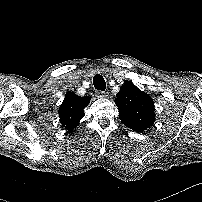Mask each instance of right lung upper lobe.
Wrapping results in <instances>:
<instances>
[{"label": "right lung upper lobe", "instance_id": "right-lung-upper-lobe-1", "mask_svg": "<svg viewBox=\"0 0 202 202\" xmlns=\"http://www.w3.org/2000/svg\"><path fill=\"white\" fill-rule=\"evenodd\" d=\"M89 101L90 97H80L73 92H68L65 95V99L59 108V118L62 126L69 132H72L78 126L84 116L83 110Z\"/></svg>", "mask_w": 202, "mask_h": 202}]
</instances>
